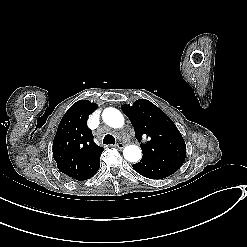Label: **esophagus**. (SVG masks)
Listing matches in <instances>:
<instances>
[{
	"instance_id": "esophagus-1",
	"label": "esophagus",
	"mask_w": 247,
	"mask_h": 247,
	"mask_svg": "<svg viewBox=\"0 0 247 247\" xmlns=\"http://www.w3.org/2000/svg\"><path fill=\"white\" fill-rule=\"evenodd\" d=\"M115 147H117L119 149H123L124 145L122 143H118L117 145H115Z\"/></svg>"
}]
</instances>
